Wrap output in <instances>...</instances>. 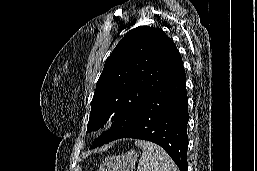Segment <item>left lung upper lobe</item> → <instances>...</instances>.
<instances>
[{
  "mask_svg": "<svg viewBox=\"0 0 257 171\" xmlns=\"http://www.w3.org/2000/svg\"><path fill=\"white\" fill-rule=\"evenodd\" d=\"M174 42L161 30L139 26L129 31L107 58L91 101L87 132L115 124L91 148L112 141L135 119L178 57Z\"/></svg>",
  "mask_w": 257,
  "mask_h": 171,
  "instance_id": "left-lung-upper-lobe-1",
  "label": "left lung upper lobe"
}]
</instances>
